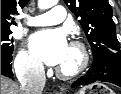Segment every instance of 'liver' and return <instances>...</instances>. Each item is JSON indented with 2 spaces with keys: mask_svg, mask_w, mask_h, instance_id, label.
Wrapping results in <instances>:
<instances>
[{
  "mask_svg": "<svg viewBox=\"0 0 121 94\" xmlns=\"http://www.w3.org/2000/svg\"><path fill=\"white\" fill-rule=\"evenodd\" d=\"M1 94H22V91L18 84L1 75Z\"/></svg>",
  "mask_w": 121,
  "mask_h": 94,
  "instance_id": "1",
  "label": "liver"
}]
</instances>
